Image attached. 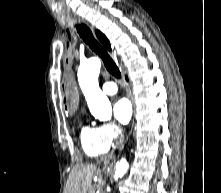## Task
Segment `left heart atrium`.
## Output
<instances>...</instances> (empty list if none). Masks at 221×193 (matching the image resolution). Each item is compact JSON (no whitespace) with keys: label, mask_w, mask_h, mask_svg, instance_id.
<instances>
[{"label":"left heart atrium","mask_w":221,"mask_h":193,"mask_svg":"<svg viewBox=\"0 0 221 193\" xmlns=\"http://www.w3.org/2000/svg\"><path fill=\"white\" fill-rule=\"evenodd\" d=\"M113 111L120 123L127 124L133 113L131 102L127 98H119L114 103Z\"/></svg>","instance_id":"39dd6f15"}]
</instances>
